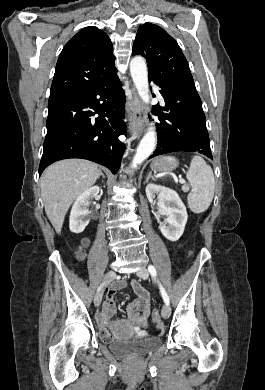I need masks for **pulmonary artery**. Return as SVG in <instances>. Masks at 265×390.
Instances as JSON below:
<instances>
[{"mask_svg":"<svg viewBox=\"0 0 265 390\" xmlns=\"http://www.w3.org/2000/svg\"><path fill=\"white\" fill-rule=\"evenodd\" d=\"M153 88H154V90L156 91V93L158 94L159 98L162 99L161 96H160V94H159V91H158V86L155 85V84H153Z\"/></svg>","mask_w":265,"mask_h":390,"instance_id":"pulmonary-artery-1","label":"pulmonary artery"}]
</instances>
